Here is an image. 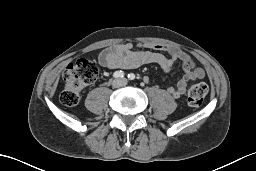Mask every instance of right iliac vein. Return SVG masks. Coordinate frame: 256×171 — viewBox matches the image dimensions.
I'll list each match as a JSON object with an SVG mask.
<instances>
[{"mask_svg":"<svg viewBox=\"0 0 256 171\" xmlns=\"http://www.w3.org/2000/svg\"><path fill=\"white\" fill-rule=\"evenodd\" d=\"M119 84H120L119 81H114V83H113V85H114L115 87H117Z\"/></svg>","mask_w":256,"mask_h":171,"instance_id":"obj_1","label":"right iliac vein"}]
</instances>
